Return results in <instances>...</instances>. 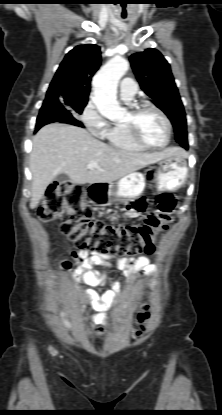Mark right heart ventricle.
I'll use <instances>...</instances> for the list:
<instances>
[{"label": "right heart ventricle", "instance_id": "obj_1", "mask_svg": "<svg viewBox=\"0 0 222 415\" xmlns=\"http://www.w3.org/2000/svg\"><path fill=\"white\" fill-rule=\"evenodd\" d=\"M109 144L117 149L139 152L146 148L137 144L130 136L123 123H115L105 135Z\"/></svg>", "mask_w": 222, "mask_h": 415}]
</instances>
